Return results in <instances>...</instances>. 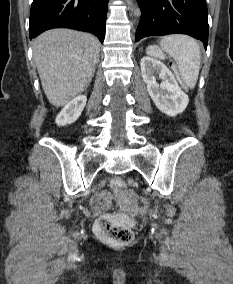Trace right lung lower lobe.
Here are the masks:
<instances>
[{
	"mask_svg": "<svg viewBox=\"0 0 233 284\" xmlns=\"http://www.w3.org/2000/svg\"><path fill=\"white\" fill-rule=\"evenodd\" d=\"M109 0H33L30 39L52 28H72L94 33L101 43Z\"/></svg>",
	"mask_w": 233,
	"mask_h": 284,
	"instance_id": "98d812e1",
	"label": "right lung lower lobe"
}]
</instances>
